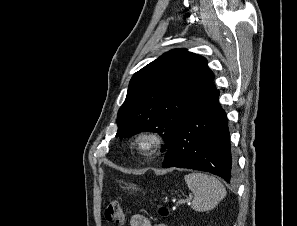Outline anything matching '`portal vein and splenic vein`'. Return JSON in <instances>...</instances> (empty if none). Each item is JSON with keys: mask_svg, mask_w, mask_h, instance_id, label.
Returning a JSON list of instances; mask_svg holds the SVG:
<instances>
[{"mask_svg": "<svg viewBox=\"0 0 297 226\" xmlns=\"http://www.w3.org/2000/svg\"><path fill=\"white\" fill-rule=\"evenodd\" d=\"M185 202H187L188 204H190V198L187 199V200H178V203H179V204H183V203H185Z\"/></svg>", "mask_w": 297, "mask_h": 226, "instance_id": "1", "label": "portal vein and splenic vein"}]
</instances>
